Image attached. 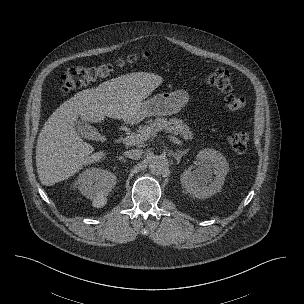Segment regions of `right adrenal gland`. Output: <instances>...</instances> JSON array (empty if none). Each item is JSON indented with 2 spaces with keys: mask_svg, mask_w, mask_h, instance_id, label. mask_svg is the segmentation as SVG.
Here are the masks:
<instances>
[{
  "mask_svg": "<svg viewBox=\"0 0 304 304\" xmlns=\"http://www.w3.org/2000/svg\"><path fill=\"white\" fill-rule=\"evenodd\" d=\"M118 160H120V161H122V162H124V163L127 162L126 159H125L123 156H120V157L118 158Z\"/></svg>",
  "mask_w": 304,
  "mask_h": 304,
  "instance_id": "1",
  "label": "right adrenal gland"
}]
</instances>
